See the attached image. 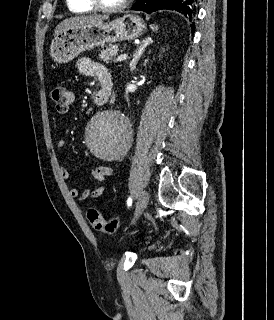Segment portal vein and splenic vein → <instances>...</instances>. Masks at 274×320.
Here are the masks:
<instances>
[{
  "instance_id": "1",
  "label": "portal vein and splenic vein",
  "mask_w": 274,
  "mask_h": 320,
  "mask_svg": "<svg viewBox=\"0 0 274 320\" xmlns=\"http://www.w3.org/2000/svg\"><path fill=\"white\" fill-rule=\"evenodd\" d=\"M128 56L127 54H123V56H118L116 62H121V60H127Z\"/></svg>"
}]
</instances>
